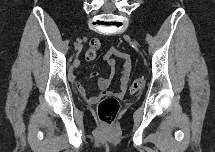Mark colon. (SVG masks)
Returning a JSON list of instances; mask_svg holds the SVG:
<instances>
[{
    "instance_id": "1",
    "label": "colon",
    "mask_w": 215,
    "mask_h": 152,
    "mask_svg": "<svg viewBox=\"0 0 215 152\" xmlns=\"http://www.w3.org/2000/svg\"><path fill=\"white\" fill-rule=\"evenodd\" d=\"M100 47V41L97 38H92L89 43V49L85 54L87 61H93L96 57V50ZM144 83L143 77H137L134 79L129 87V92L137 93ZM120 111V102L116 97L108 96L101 99L97 105V114L99 119L110 125L114 122Z\"/></svg>"
}]
</instances>
